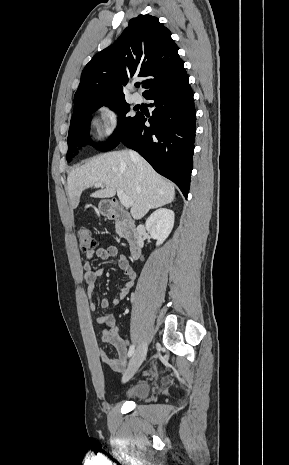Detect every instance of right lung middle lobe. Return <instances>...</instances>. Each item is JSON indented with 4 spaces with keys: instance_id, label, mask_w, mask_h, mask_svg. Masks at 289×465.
I'll use <instances>...</instances> for the list:
<instances>
[{
    "instance_id": "right-lung-middle-lobe-1",
    "label": "right lung middle lobe",
    "mask_w": 289,
    "mask_h": 465,
    "mask_svg": "<svg viewBox=\"0 0 289 465\" xmlns=\"http://www.w3.org/2000/svg\"><path fill=\"white\" fill-rule=\"evenodd\" d=\"M106 105L114 109L120 120L114 132L113 138L99 147L101 151H108L114 149L121 141V139L131 130L136 122L139 114L134 117L126 116L130 111L129 104L125 99H107V100H94L81 103L74 107V120L70 124L68 135V152L67 161L70 162L73 152L76 147H80L85 143H89V116L99 107Z\"/></svg>"
}]
</instances>
